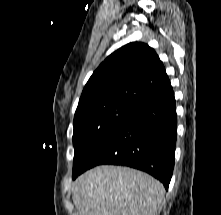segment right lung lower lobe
Masks as SVG:
<instances>
[{"label": "right lung lower lobe", "mask_w": 221, "mask_h": 215, "mask_svg": "<svg viewBox=\"0 0 221 215\" xmlns=\"http://www.w3.org/2000/svg\"><path fill=\"white\" fill-rule=\"evenodd\" d=\"M177 115L171 85L134 105L73 176L101 164L124 165L149 173L166 189L175 160Z\"/></svg>", "instance_id": "98d812e1"}]
</instances>
